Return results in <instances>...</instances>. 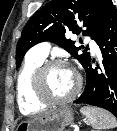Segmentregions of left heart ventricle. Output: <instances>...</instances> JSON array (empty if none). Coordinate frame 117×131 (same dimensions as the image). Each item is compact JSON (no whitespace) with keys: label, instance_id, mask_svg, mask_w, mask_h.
I'll return each mask as SVG.
<instances>
[{"label":"left heart ventricle","instance_id":"b2bd125f","mask_svg":"<svg viewBox=\"0 0 117 131\" xmlns=\"http://www.w3.org/2000/svg\"><path fill=\"white\" fill-rule=\"evenodd\" d=\"M76 83V75L68 67H55L46 75L47 90L55 98L68 96L75 89Z\"/></svg>","mask_w":117,"mask_h":131}]
</instances>
